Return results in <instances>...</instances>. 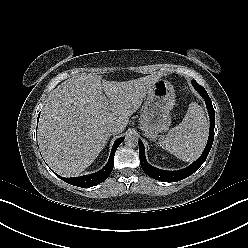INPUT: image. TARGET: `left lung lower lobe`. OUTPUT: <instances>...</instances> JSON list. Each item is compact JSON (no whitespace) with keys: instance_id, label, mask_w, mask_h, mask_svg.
<instances>
[{"instance_id":"left-lung-lower-lobe-1","label":"left lung lower lobe","mask_w":248,"mask_h":248,"mask_svg":"<svg viewBox=\"0 0 248 248\" xmlns=\"http://www.w3.org/2000/svg\"><path fill=\"white\" fill-rule=\"evenodd\" d=\"M193 86L195 89L199 92V94L204 98L206 102V106L208 109L209 117H210V132H209V138L206 145L205 150L203 151L202 155L189 167L179 170V171H164L157 169L153 166H151L145 158L144 153V145L141 140H139V157H140V165L143 169V171L151 178L162 181V182H176L180 181L182 179H185L189 177L191 174H193L195 171H197L200 166L204 163L206 160L209 151L212 147L213 139H214V126H215V112L214 108L212 106L211 99L209 95L207 94L206 90L199 85L195 80L192 81Z\"/></svg>"}]
</instances>
